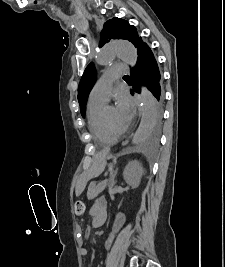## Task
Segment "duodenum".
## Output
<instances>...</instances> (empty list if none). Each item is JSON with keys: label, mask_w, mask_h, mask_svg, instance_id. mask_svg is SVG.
Returning <instances> with one entry per match:
<instances>
[{"label": "duodenum", "mask_w": 225, "mask_h": 267, "mask_svg": "<svg viewBox=\"0 0 225 267\" xmlns=\"http://www.w3.org/2000/svg\"><path fill=\"white\" fill-rule=\"evenodd\" d=\"M105 217H106L105 213L104 212H100L95 217V219L93 220V226L94 227H99V226L103 225L104 222H105Z\"/></svg>", "instance_id": "410a0bca"}]
</instances>
